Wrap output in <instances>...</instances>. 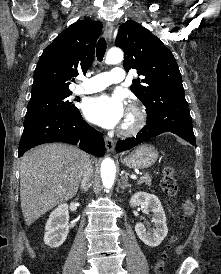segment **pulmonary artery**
<instances>
[{
    "mask_svg": "<svg viewBox=\"0 0 221 274\" xmlns=\"http://www.w3.org/2000/svg\"><path fill=\"white\" fill-rule=\"evenodd\" d=\"M124 77V70L122 68L115 67L109 72H102L91 78L85 79L84 82L76 88L75 92L77 94L95 93L105 89L113 83L123 81Z\"/></svg>",
    "mask_w": 221,
    "mask_h": 274,
    "instance_id": "e3ab8cb5",
    "label": "pulmonary artery"
}]
</instances>
